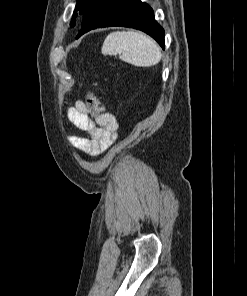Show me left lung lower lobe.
Returning a JSON list of instances; mask_svg holds the SVG:
<instances>
[{"label":"left lung lower lobe","mask_w":247,"mask_h":296,"mask_svg":"<svg viewBox=\"0 0 247 296\" xmlns=\"http://www.w3.org/2000/svg\"><path fill=\"white\" fill-rule=\"evenodd\" d=\"M111 26L141 30L164 49V29L155 20L153 9L141 0H99L83 15L76 38L92 29Z\"/></svg>","instance_id":"obj_1"}]
</instances>
